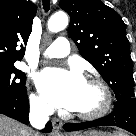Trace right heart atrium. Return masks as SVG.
<instances>
[{"label":"right heart atrium","instance_id":"1","mask_svg":"<svg viewBox=\"0 0 136 136\" xmlns=\"http://www.w3.org/2000/svg\"><path fill=\"white\" fill-rule=\"evenodd\" d=\"M30 106L33 111L40 114H48L51 111L50 105L44 100V98L36 94H31Z\"/></svg>","mask_w":136,"mask_h":136}]
</instances>
